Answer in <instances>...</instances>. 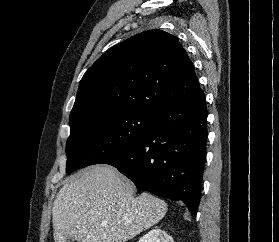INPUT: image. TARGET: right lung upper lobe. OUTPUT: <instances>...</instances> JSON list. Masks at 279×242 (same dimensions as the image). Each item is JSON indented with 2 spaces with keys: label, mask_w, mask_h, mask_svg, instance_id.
I'll list each match as a JSON object with an SVG mask.
<instances>
[{
  "label": "right lung upper lobe",
  "mask_w": 279,
  "mask_h": 242,
  "mask_svg": "<svg viewBox=\"0 0 279 242\" xmlns=\"http://www.w3.org/2000/svg\"><path fill=\"white\" fill-rule=\"evenodd\" d=\"M202 93L178 39L162 30H149L112 47L87 70L70 120L121 109L156 113Z\"/></svg>",
  "instance_id": "right-lung-upper-lobe-1"
}]
</instances>
